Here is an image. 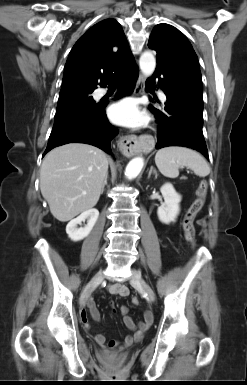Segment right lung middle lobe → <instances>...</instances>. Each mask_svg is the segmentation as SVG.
<instances>
[{
	"mask_svg": "<svg viewBox=\"0 0 247 385\" xmlns=\"http://www.w3.org/2000/svg\"><path fill=\"white\" fill-rule=\"evenodd\" d=\"M94 90L89 89H70L60 91L56 114L79 106H91L95 104L90 95Z\"/></svg>",
	"mask_w": 247,
	"mask_h": 385,
	"instance_id": "dd1d6c3e",
	"label": "right lung middle lobe"
}]
</instances>
